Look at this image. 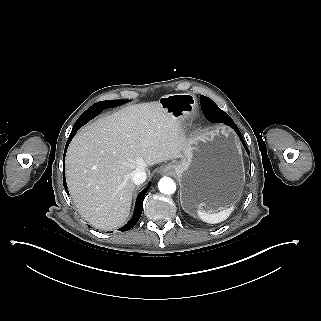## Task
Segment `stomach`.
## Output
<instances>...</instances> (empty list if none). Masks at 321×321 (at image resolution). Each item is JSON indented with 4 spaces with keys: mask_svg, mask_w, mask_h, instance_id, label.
<instances>
[{
    "mask_svg": "<svg viewBox=\"0 0 321 321\" xmlns=\"http://www.w3.org/2000/svg\"><path fill=\"white\" fill-rule=\"evenodd\" d=\"M159 103L167 113L182 119L194 113L197 99L190 93L169 94ZM172 166L180 184L182 208L192 216L198 210H222L241 196L245 183L242 150L227 125L186 139L181 160Z\"/></svg>",
    "mask_w": 321,
    "mask_h": 321,
    "instance_id": "stomach-1",
    "label": "stomach"
}]
</instances>
